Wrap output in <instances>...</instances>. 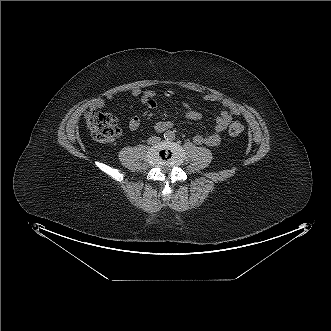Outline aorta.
<instances>
[{"label": "aorta", "instance_id": "obj_1", "mask_svg": "<svg viewBox=\"0 0 331 331\" xmlns=\"http://www.w3.org/2000/svg\"><path fill=\"white\" fill-rule=\"evenodd\" d=\"M174 136H175L174 132L170 131V130H168L164 133V138L165 139H172V138H174Z\"/></svg>", "mask_w": 331, "mask_h": 331}]
</instances>
